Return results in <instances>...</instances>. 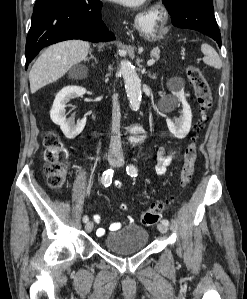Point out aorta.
<instances>
[{
    "mask_svg": "<svg viewBox=\"0 0 247 299\" xmlns=\"http://www.w3.org/2000/svg\"><path fill=\"white\" fill-rule=\"evenodd\" d=\"M120 73L124 79L130 108L137 111L140 108L142 100L141 80L137 75L135 68L127 60L121 61ZM130 133V141L132 142H139L143 139L144 130L139 126L132 127Z\"/></svg>",
    "mask_w": 247,
    "mask_h": 299,
    "instance_id": "aorta-1",
    "label": "aorta"
}]
</instances>
